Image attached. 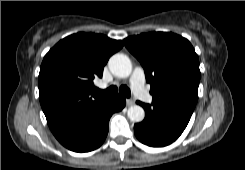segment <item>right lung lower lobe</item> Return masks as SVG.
Here are the masks:
<instances>
[{"label":"right lung lower lobe","mask_w":245,"mask_h":170,"mask_svg":"<svg viewBox=\"0 0 245 170\" xmlns=\"http://www.w3.org/2000/svg\"><path fill=\"white\" fill-rule=\"evenodd\" d=\"M125 104V98L121 95H115L99 102L58 141L75 152H89L97 149L107 136L110 117L113 113L121 111Z\"/></svg>","instance_id":"1"}]
</instances>
